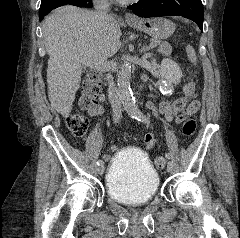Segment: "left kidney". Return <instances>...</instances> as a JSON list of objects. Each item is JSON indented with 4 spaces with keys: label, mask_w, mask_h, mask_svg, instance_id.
I'll return each mask as SVG.
<instances>
[{
    "label": "left kidney",
    "mask_w": 240,
    "mask_h": 238,
    "mask_svg": "<svg viewBox=\"0 0 240 238\" xmlns=\"http://www.w3.org/2000/svg\"><path fill=\"white\" fill-rule=\"evenodd\" d=\"M182 71L179 65L168 58L161 61L159 88L163 94L172 92L174 85L181 82Z\"/></svg>",
    "instance_id": "obj_1"
}]
</instances>
